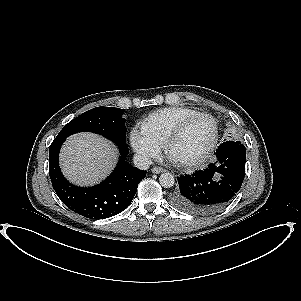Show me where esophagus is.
<instances>
[{"instance_id": "34e87169", "label": "esophagus", "mask_w": 301, "mask_h": 301, "mask_svg": "<svg viewBox=\"0 0 301 301\" xmlns=\"http://www.w3.org/2000/svg\"><path fill=\"white\" fill-rule=\"evenodd\" d=\"M151 171H152V173H154V174H159V173H161V172H164L165 170H164L163 168H161V167H153V168L151 169Z\"/></svg>"}]
</instances>
